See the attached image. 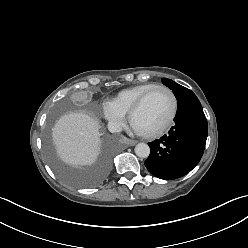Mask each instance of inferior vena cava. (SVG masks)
I'll use <instances>...</instances> for the list:
<instances>
[{
	"label": "inferior vena cava",
	"mask_w": 248,
	"mask_h": 248,
	"mask_svg": "<svg viewBox=\"0 0 248 248\" xmlns=\"http://www.w3.org/2000/svg\"><path fill=\"white\" fill-rule=\"evenodd\" d=\"M108 130L112 133H118V132L122 131V127L119 123L109 122L108 123Z\"/></svg>",
	"instance_id": "602c4592"
}]
</instances>
